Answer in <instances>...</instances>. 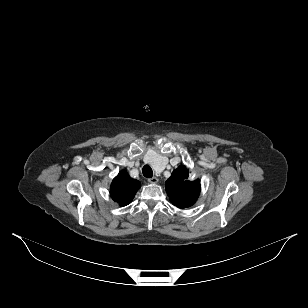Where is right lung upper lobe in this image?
I'll return each instance as SVG.
<instances>
[{
	"mask_svg": "<svg viewBox=\"0 0 308 308\" xmlns=\"http://www.w3.org/2000/svg\"><path fill=\"white\" fill-rule=\"evenodd\" d=\"M140 188V182L132 179L125 171H121L111 184L112 199L120 206L128 205Z\"/></svg>",
	"mask_w": 308,
	"mask_h": 308,
	"instance_id": "obj_1",
	"label": "right lung upper lobe"
}]
</instances>
